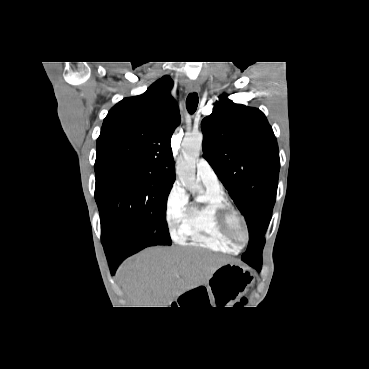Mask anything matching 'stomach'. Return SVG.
<instances>
[{
  "mask_svg": "<svg viewBox=\"0 0 369 369\" xmlns=\"http://www.w3.org/2000/svg\"><path fill=\"white\" fill-rule=\"evenodd\" d=\"M251 281V274L244 268L225 263L216 269L204 287L213 301L225 304L241 296Z\"/></svg>",
  "mask_w": 369,
  "mask_h": 369,
  "instance_id": "1",
  "label": "stomach"
}]
</instances>
